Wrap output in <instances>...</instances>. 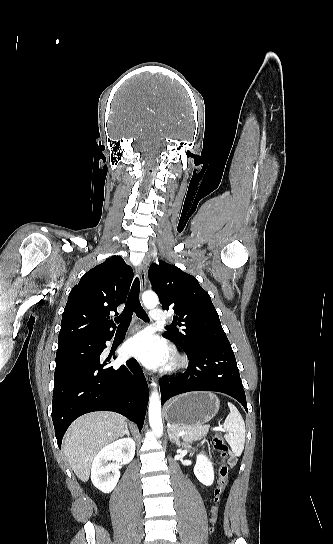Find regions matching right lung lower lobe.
<instances>
[{
    "mask_svg": "<svg viewBox=\"0 0 333 544\" xmlns=\"http://www.w3.org/2000/svg\"><path fill=\"white\" fill-rule=\"evenodd\" d=\"M113 335L58 345L52 420L59 448L69 425L88 412L114 411L143 426L149 392L140 365L131 358L115 370L100 357Z\"/></svg>",
    "mask_w": 333,
    "mask_h": 544,
    "instance_id": "1",
    "label": "right lung lower lobe"
}]
</instances>
